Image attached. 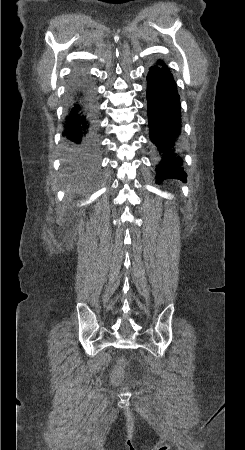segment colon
<instances>
[{
    "label": "colon",
    "instance_id": "obj_1",
    "mask_svg": "<svg viewBox=\"0 0 245 450\" xmlns=\"http://www.w3.org/2000/svg\"><path fill=\"white\" fill-rule=\"evenodd\" d=\"M123 374H124V364L121 363L115 370L113 382L117 383L122 378Z\"/></svg>",
    "mask_w": 245,
    "mask_h": 450
}]
</instances>
